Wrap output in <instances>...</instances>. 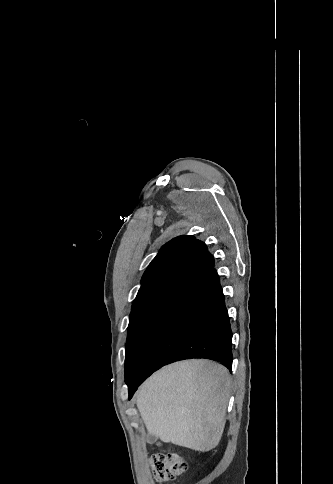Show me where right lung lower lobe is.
Here are the masks:
<instances>
[{
	"mask_svg": "<svg viewBox=\"0 0 333 484\" xmlns=\"http://www.w3.org/2000/svg\"><path fill=\"white\" fill-rule=\"evenodd\" d=\"M206 358L232 368V332L219 276L212 267L166 296L153 312L128 381L129 399L168 363Z\"/></svg>",
	"mask_w": 333,
	"mask_h": 484,
	"instance_id": "right-lung-lower-lobe-1",
	"label": "right lung lower lobe"
}]
</instances>
